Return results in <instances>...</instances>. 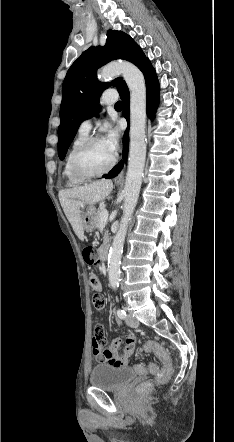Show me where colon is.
Returning a JSON list of instances; mask_svg holds the SVG:
<instances>
[{
  "label": "colon",
  "mask_w": 234,
  "mask_h": 442,
  "mask_svg": "<svg viewBox=\"0 0 234 442\" xmlns=\"http://www.w3.org/2000/svg\"><path fill=\"white\" fill-rule=\"evenodd\" d=\"M83 257L86 263L89 265H94V266L101 265L100 258L98 257L96 250L92 246H86L83 249ZM97 283H98V278L96 276H92L90 278V286L93 290L92 305L96 310H102L105 306V299L99 291L94 289ZM143 350L147 353L153 352L154 354H156L157 357L162 361L163 368L159 372V364L156 361H151L147 368L140 365L138 361H135L133 363L134 366L133 370L137 373L146 374L147 372H150L152 374H156L159 372L157 374V378L154 379V382L153 380H140L139 382L140 389H153L154 384L155 385L166 384L168 378L172 373L171 358L167 350L162 345L156 342H145Z\"/></svg>",
  "instance_id": "1"
}]
</instances>
